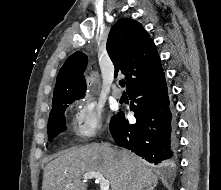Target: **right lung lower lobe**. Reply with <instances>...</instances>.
<instances>
[{"mask_svg": "<svg viewBox=\"0 0 221 190\" xmlns=\"http://www.w3.org/2000/svg\"><path fill=\"white\" fill-rule=\"evenodd\" d=\"M128 95L137 122L130 124L124 113L118 112L109 126L114 141L150 163L171 165L176 158L177 138L164 72L135 86Z\"/></svg>", "mask_w": 221, "mask_h": 190, "instance_id": "obj_1", "label": "right lung lower lobe"}]
</instances>
